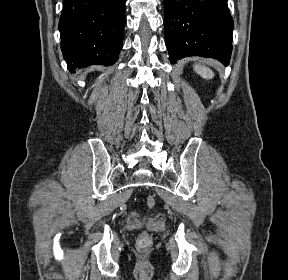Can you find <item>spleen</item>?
<instances>
[{
	"label": "spleen",
	"mask_w": 288,
	"mask_h": 280,
	"mask_svg": "<svg viewBox=\"0 0 288 280\" xmlns=\"http://www.w3.org/2000/svg\"><path fill=\"white\" fill-rule=\"evenodd\" d=\"M194 70L205 79H212L214 77L213 71L206 66L195 64Z\"/></svg>",
	"instance_id": "1"
}]
</instances>
